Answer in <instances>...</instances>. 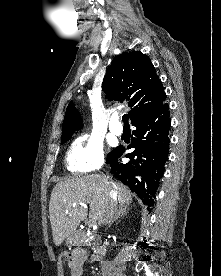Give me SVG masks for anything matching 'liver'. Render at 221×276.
Returning a JSON list of instances; mask_svg holds the SVG:
<instances>
[{
    "label": "liver",
    "instance_id": "1",
    "mask_svg": "<svg viewBox=\"0 0 221 276\" xmlns=\"http://www.w3.org/2000/svg\"><path fill=\"white\" fill-rule=\"evenodd\" d=\"M112 192L120 206L132 202L131 191L125 185L110 181L100 174L75 177L57 183L49 202V218L55 245H61L68 236L76 232L80 222L86 219L87 209L80 203L90 205V221L101 222Z\"/></svg>",
    "mask_w": 221,
    "mask_h": 276
}]
</instances>
